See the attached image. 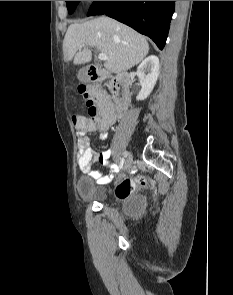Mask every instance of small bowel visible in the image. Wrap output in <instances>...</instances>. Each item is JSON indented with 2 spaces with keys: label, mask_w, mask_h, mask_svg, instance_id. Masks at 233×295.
<instances>
[{
  "label": "small bowel",
  "mask_w": 233,
  "mask_h": 295,
  "mask_svg": "<svg viewBox=\"0 0 233 295\" xmlns=\"http://www.w3.org/2000/svg\"><path fill=\"white\" fill-rule=\"evenodd\" d=\"M97 103L104 113V118L96 126L88 130L78 131L77 161L78 167L83 173L96 179L99 184H106L110 181L113 174L119 171L120 164H109V158L112 153L111 149H107L102 153H95L90 146V139L105 140L108 135V129L118 120L119 114L112 99L106 93H100ZM88 133L90 136H87ZM93 162L100 163L108 168L111 174L103 175V172L100 170H92L91 165Z\"/></svg>",
  "instance_id": "small-bowel-1"
}]
</instances>
